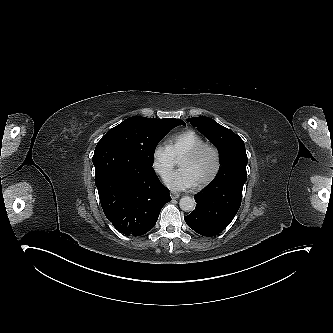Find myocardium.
Returning a JSON list of instances; mask_svg holds the SVG:
<instances>
[{"instance_id":"f54148a6","label":"myocardium","mask_w":333,"mask_h":333,"mask_svg":"<svg viewBox=\"0 0 333 333\" xmlns=\"http://www.w3.org/2000/svg\"><path fill=\"white\" fill-rule=\"evenodd\" d=\"M208 150L212 153L213 155V166L211 171L207 176L204 178L195 181L196 186H204L210 183L217 175L219 169H220V156L217 148L211 144L208 143H203L191 151H189L182 159L180 160V166L183 167V165L187 162H190L194 159H196L203 151Z\"/></svg>"}]
</instances>
